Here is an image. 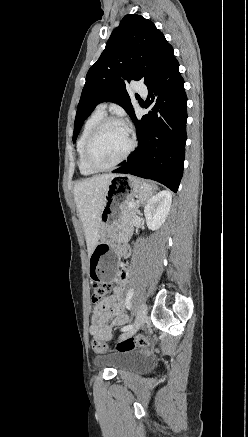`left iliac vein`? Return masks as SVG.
<instances>
[{"label":"left iliac vein","mask_w":248,"mask_h":437,"mask_svg":"<svg viewBox=\"0 0 248 437\" xmlns=\"http://www.w3.org/2000/svg\"><path fill=\"white\" fill-rule=\"evenodd\" d=\"M146 318H147V305L145 302H142L137 310V317L133 328L122 334L120 338L121 339L127 338L134 335L140 329L143 323L146 321Z\"/></svg>","instance_id":"left-iliac-vein-1"}]
</instances>
